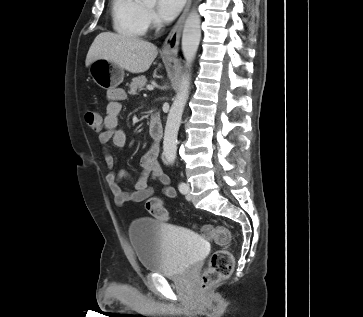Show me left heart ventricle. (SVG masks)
Instances as JSON below:
<instances>
[{
    "label": "left heart ventricle",
    "mask_w": 363,
    "mask_h": 317,
    "mask_svg": "<svg viewBox=\"0 0 363 317\" xmlns=\"http://www.w3.org/2000/svg\"><path fill=\"white\" fill-rule=\"evenodd\" d=\"M153 6H154L153 3L152 4H147V7L150 8V9L153 8Z\"/></svg>",
    "instance_id": "b2bd125f"
}]
</instances>
